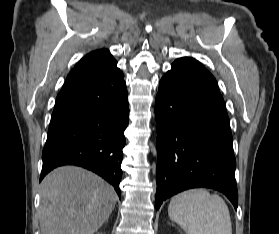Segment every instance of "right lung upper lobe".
Returning <instances> with one entry per match:
<instances>
[{
	"mask_svg": "<svg viewBox=\"0 0 279 234\" xmlns=\"http://www.w3.org/2000/svg\"><path fill=\"white\" fill-rule=\"evenodd\" d=\"M117 64L107 49L92 51L84 56L69 73L63 88L101 76Z\"/></svg>",
	"mask_w": 279,
	"mask_h": 234,
	"instance_id": "1",
	"label": "right lung upper lobe"
}]
</instances>
